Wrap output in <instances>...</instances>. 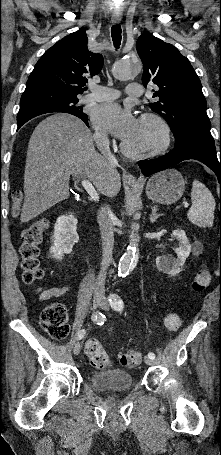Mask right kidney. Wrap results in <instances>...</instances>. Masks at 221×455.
Instances as JSON below:
<instances>
[{"instance_id": "right-kidney-1", "label": "right kidney", "mask_w": 221, "mask_h": 455, "mask_svg": "<svg viewBox=\"0 0 221 455\" xmlns=\"http://www.w3.org/2000/svg\"><path fill=\"white\" fill-rule=\"evenodd\" d=\"M77 222V218L73 215L57 218L53 232V245L49 249L48 257L60 261L64 254L72 252L74 244L79 240L76 232Z\"/></svg>"}]
</instances>
